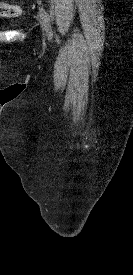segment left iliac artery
I'll use <instances>...</instances> for the list:
<instances>
[{"instance_id":"44dca946","label":"left iliac artery","mask_w":133,"mask_h":275,"mask_svg":"<svg viewBox=\"0 0 133 275\" xmlns=\"http://www.w3.org/2000/svg\"><path fill=\"white\" fill-rule=\"evenodd\" d=\"M39 11H40V14L43 16V18L49 23L50 22V16L47 13V11L44 9L43 6L39 7ZM48 35H49V37H52L53 36L52 31L49 32Z\"/></svg>"}]
</instances>
